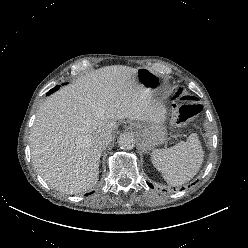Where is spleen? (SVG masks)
<instances>
[{
    "label": "spleen",
    "mask_w": 248,
    "mask_h": 248,
    "mask_svg": "<svg viewBox=\"0 0 248 248\" xmlns=\"http://www.w3.org/2000/svg\"><path fill=\"white\" fill-rule=\"evenodd\" d=\"M203 157V149L196 134H191L186 142L181 141L168 149H154L151 153L154 167L173 186L191 180L199 171Z\"/></svg>",
    "instance_id": "obj_1"
}]
</instances>
